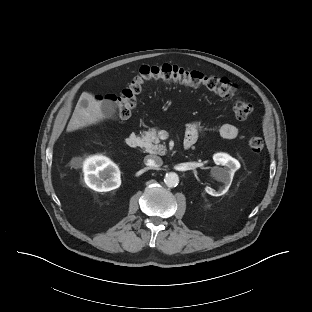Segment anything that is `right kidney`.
<instances>
[{
    "mask_svg": "<svg viewBox=\"0 0 312 312\" xmlns=\"http://www.w3.org/2000/svg\"><path fill=\"white\" fill-rule=\"evenodd\" d=\"M83 171L85 183L95 191H111L121 185L119 168L107 157L94 156L87 159Z\"/></svg>",
    "mask_w": 312,
    "mask_h": 312,
    "instance_id": "right-kidney-1",
    "label": "right kidney"
}]
</instances>
